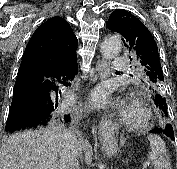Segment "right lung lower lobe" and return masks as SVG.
Returning a JSON list of instances; mask_svg holds the SVG:
<instances>
[{
    "label": "right lung lower lobe",
    "instance_id": "1",
    "mask_svg": "<svg viewBox=\"0 0 177 169\" xmlns=\"http://www.w3.org/2000/svg\"><path fill=\"white\" fill-rule=\"evenodd\" d=\"M77 72V64L61 67L21 63L5 130L69 122L61 90L70 86Z\"/></svg>",
    "mask_w": 177,
    "mask_h": 169
}]
</instances>
